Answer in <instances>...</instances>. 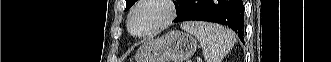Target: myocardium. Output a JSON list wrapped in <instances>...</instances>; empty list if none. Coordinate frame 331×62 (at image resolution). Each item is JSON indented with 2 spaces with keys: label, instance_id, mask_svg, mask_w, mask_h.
I'll use <instances>...</instances> for the list:
<instances>
[{
  "label": "myocardium",
  "instance_id": "f54148a6",
  "mask_svg": "<svg viewBox=\"0 0 331 62\" xmlns=\"http://www.w3.org/2000/svg\"><path fill=\"white\" fill-rule=\"evenodd\" d=\"M149 4H159L165 9V15L163 18L154 26L142 33H135L132 29V22L135 14L140 8ZM176 8L174 2L171 0H141L136 3V5L131 9L128 15L127 27L130 32L135 37L143 38L149 35L155 34L164 28H166L176 17Z\"/></svg>",
  "mask_w": 331,
  "mask_h": 62
}]
</instances>
